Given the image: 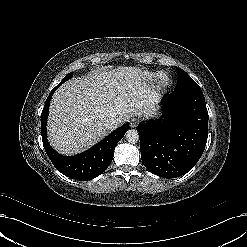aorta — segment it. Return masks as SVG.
Segmentation results:
<instances>
[{
	"label": "aorta",
	"mask_w": 247,
	"mask_h": 247,
	"mask_svg": "<svg viewBox=\"0 0 247 247\" xmlns=\"http://www.w3.org/2000/svg\"><path fill=\"white\" fill-rule=\"evenodd\" d=\"M125 137L129 143L135 144L139 140V133L136 129H129L126 132Z\"/></svg>",
	"instance_id": "aorta-1"
}]
</instances>
